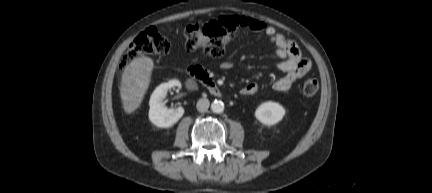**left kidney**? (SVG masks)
Here are the masks:
<instances>
[{"mask_svg":"<svg viewBox=\"0 0 432 193\" xmlns=\"http://www.w3.org/2000/svg\"><path fill=\"white\" fill-rule=\"evenodd\" d=\"M285 115V109L276 102L268 101L258 106L255 111V117L264 125H275L282 120Z\"/></svg>","mask_w":432,"mask_h":193,"instance_id":"5707ae66","label":"left kidney"}]
</instances>
